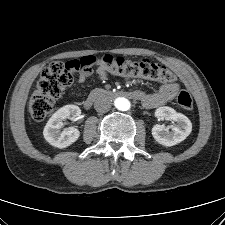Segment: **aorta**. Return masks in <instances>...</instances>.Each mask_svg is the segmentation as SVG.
Here are the masks:
<instances>
[{
  "mask_svg": "<svg viewBox=\"0 0 225 225\" xmlns=\"http://www.w3.org/2000/svg\"><path fill=\"white\" fill-rule=\"evenodd\" d=\"M115 107L121 111H127L130 109L131 104L128 99L119 97L114 101Z\"/></svg>",
  "mask_w": 225,
  "mask_h": 225,
  "instance_id": "obj_1",
  "label": "aorta"
}]
</instances>
